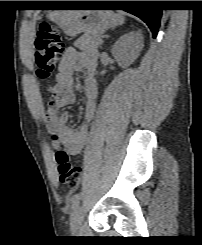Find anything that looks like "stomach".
Returning a JSON list of instances; mask_svg holds the SVG:
<instances>
[{"label":"stomach","mask_w":202,"mask_h":245,"mask_svg":"<svg viewBox=\"0 0 202 245\" xmlns=\"http://www.w3.org/2000/svg\"><path fill=\"white\" fill-rule=\"evenodd\" d=\"M47 17L68 36L79 33L99 35L118 24V17L108 10L50 12Z\"/></svg>","instance_id":"obj_1"}]
</instances>
